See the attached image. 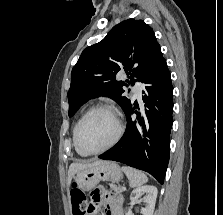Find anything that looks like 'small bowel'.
<instances>
[{"label":"small bowel","instance_id":"c3829d8e","mask_svg":"<svg viewBox=\"0 0 223 215\" xmlns=\"http://www.w3.org/2000/svg\"><path fill=\"white\" fill-rule=\"evenodd\" d=\"M88 213L86 215H95L98 213L100 207L106 215H123L122 198L104 188L98 187L91 192V200Z\"/></svg>","mask_w":223,"mask_h":215}]
</instances>
